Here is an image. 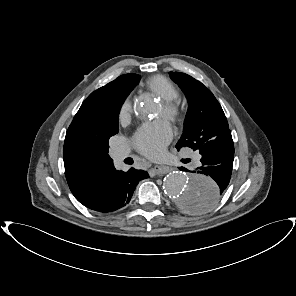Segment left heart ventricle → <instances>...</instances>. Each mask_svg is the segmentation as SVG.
Returning <instances> with one entry per match:
<instances>
[{
  "mask_svg": "<svg viewBox=\"0 0 296 296\" xmlns=\"http://www.w3.org/2000/svg\"><path fill=\"white\" fill-rule=\"evenodd\" d=\"M159 115H163V108H161Z\"/></svg>",
  "mask_w": 296,
  "mask_h": 296,
  "instance_id": "b2bd125f",
  "label": "left heart ventricle"
}]
</instances>
